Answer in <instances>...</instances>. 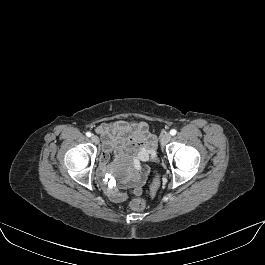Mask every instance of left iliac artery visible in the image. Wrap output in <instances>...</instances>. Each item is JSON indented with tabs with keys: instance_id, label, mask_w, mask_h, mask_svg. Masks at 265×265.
<instances>
[{
	"instance_id": "obj_1",
	"label": "left iliac artery",
	"mask_w": 265,
	"mask_h": 265,
	"mask_svg": "<svg viewBox=\"0 0 265 265\" xmlns=\"http://www.w3.org/2000/svg\"><path fill=\"white\" fill-rule=\"evenodd\" d=\"M176 133H177V131H176L175 129L170 130V134H171L172 136L176 135Z\"/></svg>"
}]
</instances>
